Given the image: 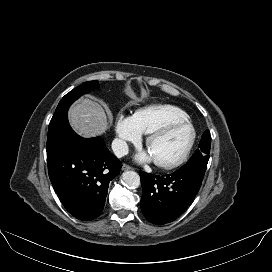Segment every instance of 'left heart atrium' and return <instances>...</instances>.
Wrapping results in <instances>:
<instances>
[{
  "label": "left heart atrium",
  "instance_id": "1",
  "mask_svg": "<svg viewBox=\"0 0 272 272\" xmlns=\"http://www.w3.org/2000/svg\"><path fill=\"white\" fill-rule=\"evenodd\" d=\"M137 159L139 161H149V160H152L153 157L151 156V154H148V153H142L140 154Z\"/></svg>",
  "mask_w": 272,
  "mask_h": 272
}]
</instances>
